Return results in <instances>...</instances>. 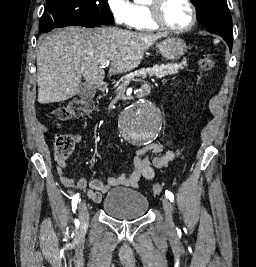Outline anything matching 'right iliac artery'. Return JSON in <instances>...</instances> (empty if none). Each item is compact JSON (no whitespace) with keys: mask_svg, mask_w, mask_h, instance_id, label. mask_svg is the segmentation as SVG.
Listing matches in <instances>:
<instances>
[{"mask_svg":"<svg viewBox=\"0 0 256 267\" xmlns=\"http://www.w3.org/2000/svg\"><path fill=\"white\" fill-rule=\"evenodd\" d=\"M78 201H79V193L75 194L72 197V210L74 213H75V210L77 208Z\"/></svg>","mask_w":256,"mask_h":267,"instance_id":"1","label":"right iliac artery"}]
</instances>
